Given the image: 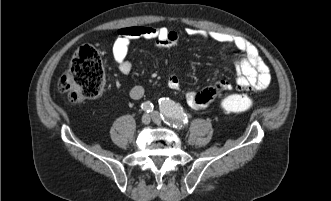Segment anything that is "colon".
Segmentation results:
<instances>
[{
    "label": "colon",
    "instance_id": "5ec220e1",
    "mask_svg": "<svg viewBox=\"0 0 331 201\" xmlns=\"http://www.w3.org/2000/svg\"><path fill=\"white\" fill-rule=\"evenodd\" d=\"M106 87L103 60L99 53L90 46L80 47L70 62L68 70L60 77L58 89L72 102L95 98ZM241 91L226 96L221 101V108L228 113L244 112L254 105L253 98Z\"/></svg>",
    "mask_w": 331,
    "mask_h": 201
}]
</instances>
